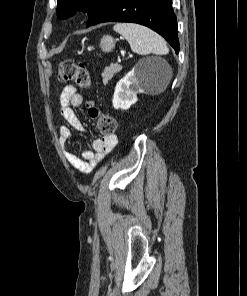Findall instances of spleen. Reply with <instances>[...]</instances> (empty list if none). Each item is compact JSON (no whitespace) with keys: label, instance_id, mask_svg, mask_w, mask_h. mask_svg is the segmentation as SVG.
I'll list each match as a JSON object with an SVG mask.
<instances>
[{"label":"spleen","instance_id":"1","mask_svg":"<svg viewBox=\"0 0 247 296\" xmlns=\"http://www.w3.org/2000/svg\"><path fill=\"white\" fill-rule=\"evenodd\" d=\"M114 30L129 43L133 52L140 55H164L169 52L165 40L147 27L134 23H117ZM171 78V72L168 80Z\"/></svg>","mask_w":247,"mask_h":296}]
</instances>
